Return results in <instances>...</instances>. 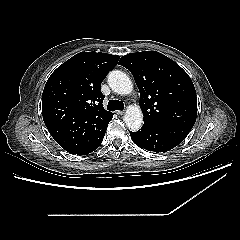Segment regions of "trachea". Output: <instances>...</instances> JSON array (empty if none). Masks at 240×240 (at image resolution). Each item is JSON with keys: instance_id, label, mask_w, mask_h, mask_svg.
Returning a JSON list of instances; mask_svg holds the SVG:
<instances>
[{"instance_id": "trachea-1", "label": "trachea", "mask_w": 240, "mask_h": 240, "mask_svg": "<svg viewBox=\"0 0 240 240\" xmlns=\"http://www.w3.org/2000/svg\"><path fill=\"white\" fill-rule=\"evenodd\" d=\"M107 108L109 111H115V110L122 111L124 109V103L119 100H110L108 102Z\"/></svg>"}]
</instances>
